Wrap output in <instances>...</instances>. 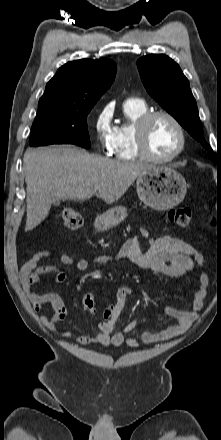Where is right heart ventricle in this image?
Here are the masks:
<instances>
[{
    "instance_id": "1",
    "label": "right heart ventricle",
    "mask_w": 221,
    "mask_h": 440,
    "mask_svg": "<svg viewBox=\"0 0 221 440\" xmlns=\"http://www.w3.org/2000/svg\"><path fill=\"white\" fill-rule=\"evenodd\" d=\"M149 111L140 99H128L123 105L126 121L115 127L111 153L118 160H134L141 156L135 142V125L141 116Z\"/></svg>"
}]
</instances>
